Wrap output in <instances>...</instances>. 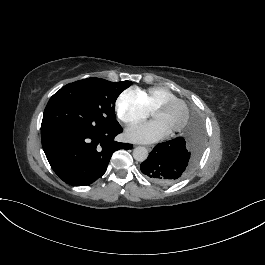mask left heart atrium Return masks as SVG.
Segmentation results:
<instances>
[{
	"label": "left heart atrium",
	"mask_w": 265,
	"mask_h": 265,
	"mask_svg": "<svg viewBox=\"0 0 265 265\" xmlns=\"http://www.w3.org/2000/svg\"><path fill=\"white\" fill-rule=\"evenodd\" d=\"M167 134L168 130L159 122L151 121L129 127L125 131V138L129 141L150 143L165 138Z\"/></svg>",
	"instance_id": "39dd6f15"
}]
</instances>
